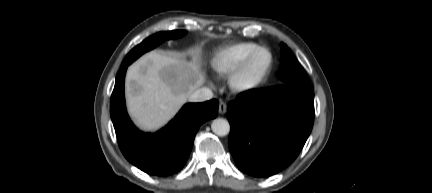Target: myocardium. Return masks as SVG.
Segmentation results:
<instances>
[{"mask_svg":"<svg viewBox=\"0 0 432 193\" xmlns=\"http://www.w3.org/2000/svg\"><path fill=\"white\" fill-rule=\"evenodd\" d=\"M266 51L269 54V62L265 71L256 78H248L247 72L255 57ZM274 65V56L272 51L265 46H259L232 72L229 82L233 90L239 93H248L261 88L268 80Z\"/></svg>","mask_w":432,"mask_h":193,"instance_id":"f54148a6","label":"myocardium"}]
</instances>
